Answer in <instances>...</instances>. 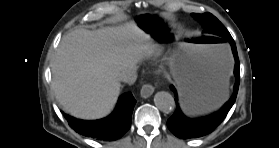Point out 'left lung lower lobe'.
Here are the masks:
<instances>
[{
	"mask_svg": "<svg viewBox=\"0 0 279 148\" xmlns=\"http://www.w3.org/2000/svg\"><path fill=\"white\" fill-rule=\"evenodd\" d=\"M227 39L232 47V52L235 58L234 74L236 82L234 85V92L229 101L216 113L202 118L191 119L186 117L179 108L177 101V109L174 114L168 119L167 126L170 131L181 139L197 138L211 133L226 117L227 113L235 103L239 82H240V63L237 54L235 42L231 36L224 37ZM172 91L177 98L176 90L171 86Z\"/></svg>",
	"mask_w": 279,
	"mask_h": 148,
	"instance_id": "left-lung-lower-lobe-1",
	"label": "left lung lower lobe"
}]
</instances>
